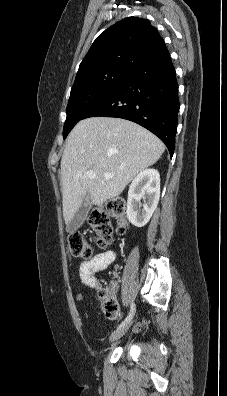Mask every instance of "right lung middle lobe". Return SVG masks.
<instances>
[{"label":"right lung middle lobe","mask_w":227,"mask_h":396,"mask_svg":"<svg viewBox=\"0 0 227 396\" xmlns=\"http://www.w3.org/2000/svg\"><path fill=\"white\" fill-rule=\"evenodd\" d=\"M131 71L123 68H111L94 73L75 83L67 105L63 138L67 137L72 128L84 118L91 108L116 89Z\"/></svg>","instance_id":"1"}]
</instances>
